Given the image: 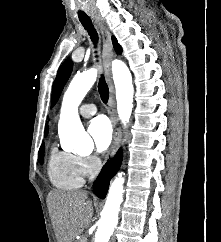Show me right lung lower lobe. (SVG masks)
I'll return each instance as SVG.
<instances>
[{
  "instance_id": "right-lung-lower-lobe-1",
  "label": "right lung lower lobe",
  "mask_w": 221,
  "mask_h": 242,
  "mask_svg": "<svg viewBox=\"0 0 221 242\" xmlns=\"http://www.w3.org/2000/svg\"><path fill=\"white\" fill-rule=\"evenodd\" d=\"M122 162V150L119 149L115 157L109 161L102 169L93 184L95 194L99 198H104L107 194L111 178L117 173Z\"/></svg>"
}]
</instances>
